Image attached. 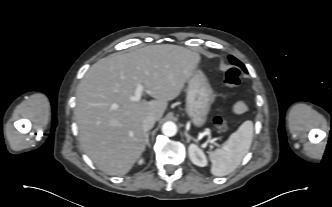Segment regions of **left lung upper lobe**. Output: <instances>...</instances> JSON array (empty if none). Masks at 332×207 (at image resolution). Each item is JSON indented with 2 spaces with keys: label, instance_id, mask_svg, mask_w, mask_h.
<instances>
[{
  "label": "left lung upper lobe",
  "instance_id": "left-lung-upper-lobe-1",
  "mask_svg": "<svg viewBox=\"0 0 332 207\" xmlns=\"http://www.w3.org/2000/svg\"><path fill=\"white\" fill-rule=\"evenodd\" d=\"M229 60L233 65L241 67L245 72L247 71L245 66L238 59H236L235 57L230 55Z\"/></svg>",
  "mask_w": 332,
  "mask_h": 207
}]
</instances>
